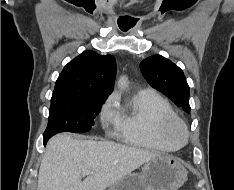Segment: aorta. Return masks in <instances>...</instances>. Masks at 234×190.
<instances>
[{"label": "aorta", "mask_w": 234, "mask_h": 190, "mask_svg": "<svg viewBox=\"0 0 234 190\" xmlns=\"http://www.w3.org/2000/svg\"><path fill=\"white\" fill-rule=\"evenodd\" d=\"M118 86L123 89L127 86V78L126 77H121L118 81Z\"/></svg>", "instance_id": "1"}]
</instances>
